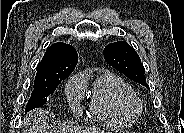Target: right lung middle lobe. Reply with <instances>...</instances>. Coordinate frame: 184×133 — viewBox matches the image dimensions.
Returning a JSON list of instances; mask_svg holds the SVG:
<instances>
[{
	"label": "right lung middle lobe",
	"mask_w": 184,
	"mask_h": 133,
	"mask_svg": "<svg viewBox=\"0 0 184 133\" xmlns=\"http://www.w3.org/2000/svg\"><path fill=\"white\" fill-rule=\"evenodd\" d=\"M62 79H55L46 86H34L31 97L27 103L25 113L44 105L47 102V97L56 90Z\"/></svg>",
	"instance_id": "right-lung-middle-lobe-1"
}]
</instances>
